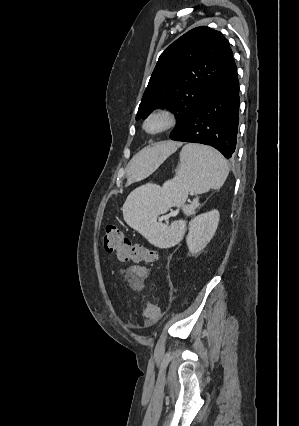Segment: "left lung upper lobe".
Instances as JSON below:
<instances>
[{"instance_id": "left-lung-upper-lobe-1", "label": "left lung upper lobe", "mask_w": 299, "mask_h": 426, "mask_svg": "<svg viewBox=\"0 0 299 426\" xmlns=\"http://www.w3.org/2000/svg\"><path fill=\"white\" fill-rule=\"evenodd\" d=\"M232 60L233 52L221 32L205 26L188 31L160 55L136 119L146 118L157 107H171L178 120L173 137Z\"/></svg>"}]
</instances>
